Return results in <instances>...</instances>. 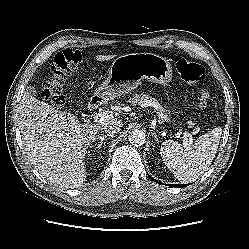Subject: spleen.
Wrapping results in <instances>:
<instances>
[{
	"instance_id": "spleen-1",
	"label": "spleen",
	"mask_w": 249,
	"mask_h": 249,
	"mask_svg": "<svg viewBox=\"0 0 249 249\" xmlns=\"http://www.w3.org/2000/svg\"><path fill=\"white\" fill-rule=\"evenodd\" d=\"M221 132L220 127L208 131L195 141L192 148H184L176 141L166 140L160 148L161 157L179 181H195L215 158Z\"/></svg>"
}]
</instances>
